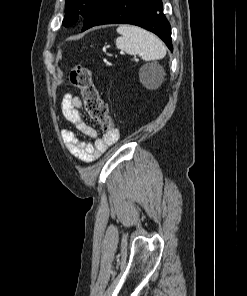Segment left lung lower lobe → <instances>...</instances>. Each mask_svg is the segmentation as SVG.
<instances>
[{
  "instance_id": "obj_1",
  "label": "left lung lower lobe",
  "mask_w": 247,
  "mask_h": 296,
  "mask_svg": "<svg viewBox=\"0 0 247 296\" xmlns=\"http://www.w3.org/2000/svg\"><path fill=\"white\" fill-rule=\"evenodd\" d=\"M101 24H133L159 36L172 51L171 27L161 0H101L85 16L82 31Z\"/></svg>"
}]
</instances>
